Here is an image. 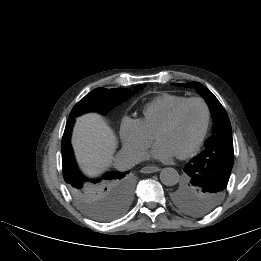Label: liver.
<instances>
[{"mask_svg":"<svg viewBox=\"0 0 261 261\" xmlns=\"http://www.w3.org/2000/svg\"><path fill=\"white\" fill-rule=\"evenodd\" d=\"M72 145L82 171L95 176L111 165L117 140L100 115L88 113L77 119Z\"/></svg>","mask_w":261,"mask_h":261,"instance_id":"obj_1","label":"liver"}]
</instances>
